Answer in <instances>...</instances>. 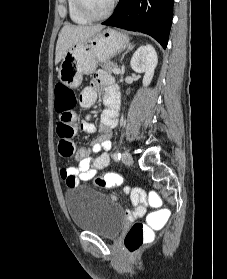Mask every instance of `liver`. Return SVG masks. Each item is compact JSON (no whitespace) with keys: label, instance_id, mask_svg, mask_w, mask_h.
<instances>
[{"label":"liver","instance_id":"6515ba94","mask_svg":"<svg viewBox=\"0 0 227 279\" xmlns=\"http://www.w3.org/2000/svg\"><path fill=\"white\" fill-rule=\"evenodd\" d=\"M104 26L92 25V26H80L66 24L61 29L55 52V64L57 65L65 56L66 52L76 43L86 41L90 37H93L99 33Z\"/></svg>","mask_w":227,"mask_h":279}]
</instances>
